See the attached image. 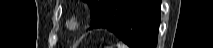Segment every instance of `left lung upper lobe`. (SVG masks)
Instances as JSON below:
<instances>
[{
    "label": "left lung upper lobe",
    "instance_id": "left-lung-upper-lobe-1",
    "mask_svg": "<svg viewBox=\"0 0 213 48\" xmlns=\"http://www.w3.org/2000/svg\"><path fill=\"white\" fill-rule=\"evenodd\" d=\"M87 2L91 9V20L94 19L99 12L105 7L110 0H83Z\"/></svg>",
    "mask_w": 213,
    "mask_h": 48
}]
</instances>
